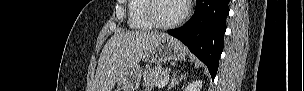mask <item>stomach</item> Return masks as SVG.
I'll use <instances>...</instances> for the list:
<instances>
[{
    "instance_id": "1",
    "label": "stomach",
    "mask_w": 304,
    "mask_h": 91,
    "mask_svg": "<svg viewBox=\"0 0 304 91\" xmlns=\"http://www.w3.org/2000/svg\"><path fill=\"white\" fill-rule=\"evenodd\" d=\"M185 47L177 39L167 37L157 43L150 51L147 59L155 64H162L167 61H181L186 56ZM142 76L140 66L135 63L127 68L120 75L118 85L120 91H136L139 87Z\"/></svg>"
}]
</instances>
